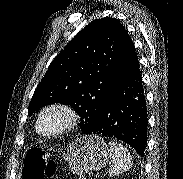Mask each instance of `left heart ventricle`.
I'll list each match as a JSON object with an SVG mask.
<instances>
[{"instance_id": "obj_1", "label": "left heart ventricle", "mask_w": 183, "mask_h": 179, "mask_svg": "<svg viewBox=\"0 0 183 179\" xmlns=\"http://www.w3.org/2000/svg\"><path fill=\"white\" fill-rule=\"evenodd\" d=\"M66 122L65 115L60 111H49L41 120V129L45 132L57 130Z\"/></svg>"}]
</instances>
